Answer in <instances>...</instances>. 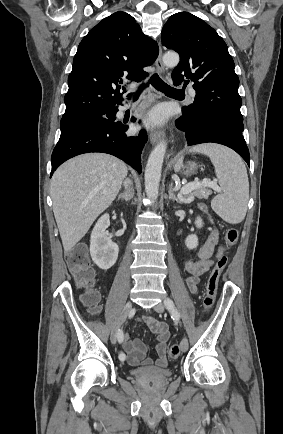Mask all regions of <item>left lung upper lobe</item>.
<instances>
[{"mask_svg":"<svg viewBox=\"0 0 283 434\" xmlns=\"http://www.w3.org/2000/svg\"><path fill=\"white\" fill-rule=\"evenodd\" d=\"M161 40L180 55L172 72L174 84L192 82L196 90L193 104L183 107V116L192 123L208 114H224L243 121L234 61L212 27L188 12H179L164 25Z\"/></svg>","mask_w":283,"mask_h":434,"instance_id":"obj_1","label":"left lung upper lobe"}]
</instances>
